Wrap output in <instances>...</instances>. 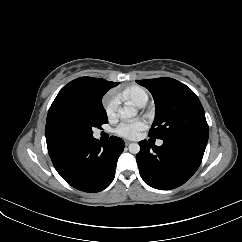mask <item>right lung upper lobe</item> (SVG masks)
<instances>
[{
  "label": "right lung upper lobe",
  "instance_id": "right-lung-upper-lobe-1",
  "mask_svg": "<svg viewBox=\"0 0 242 242\" xmlns=\"http://www.w3.org/2000/svg\"><path fill=\"white\" fill-rule=\"evenodd\" d=\"M117 82L101 78L80 77L64 86L53 101L47 115L45 135L47 146L66 138L58 132L54 119L57 112L65 106H89L101 102L103 95Z\"/></svg>",
  "mask_w": 242,
  "mask_h": 242
}]
</instances>
